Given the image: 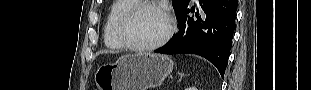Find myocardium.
<instances>
[{
  "mask_svg": "<svg viewBox=\"0 0 311 90\" xmlns=\"http://www.w3.org/2000/svg\"><path fill=\"white\" fill-rule=\"evenodd\" d=\"M145 8H152L162 12V14L165 16L167 20L168 28L164 36L157 42L150 45H137L128 36L127 29L132 20L134 19V17ZM175 28L176 24L174 17L165 6L156 2L143 1L138 2L122 15L118 24L117 33L120 41L123 43L125 48L134 52H149L165 45L169 41V39L173 36Z\"/></svg>",
  "mask_w": 311,
  "mask_h": 90,
  "instance_id": "f54148a6",
  "label": "myocardium"
}]
</instances>
